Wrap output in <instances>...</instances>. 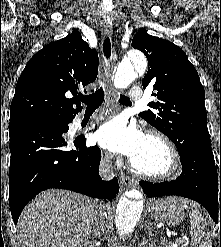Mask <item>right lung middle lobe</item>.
Instances as JSON below:
<instances>
[{
    "mask_svg": "<svg viewBox=\"0 0 221 247\" xmlns=\"http://www.w3.org/2000/svg\"><path fill=\"white\" fill-rule=\"evenodd\" d=\"M51 125H55V126H59V127H66L67 123H58V124H51Z\"/></svg>",
    "mask_w": 221,
    "mask_h": 247,
    "instance_id": "dd1d6c3e",
    "label": "right lung middle lobe"
}]
</instances>
